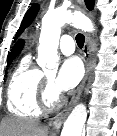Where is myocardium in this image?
<instances>
[{"mask_svg":"<svg viewBox=\"0 0 117 136\" xmlns=\"http://www.w3.org/2000/svg\"><path fill=\"white\" fill-rule=\"evenodd\" d=\"M39 106L44 111H51L60 104V97L49 81L40 89L38 96Z\"/></svg>","mask_w":117,"mask_h":136,"instance_id":"1","label":"myocardium"}]
</instances>
